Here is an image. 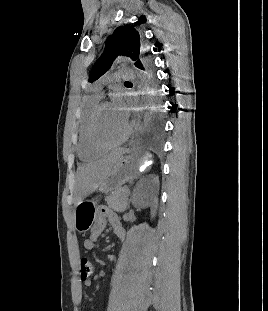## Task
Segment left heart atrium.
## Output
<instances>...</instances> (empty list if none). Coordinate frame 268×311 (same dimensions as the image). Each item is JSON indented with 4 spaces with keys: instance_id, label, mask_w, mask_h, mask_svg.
<instances>
[{
    "instance_id": "39dd6f15",
    "label": "left heart atrium",
    "mask_w": 268,
    "mask_h": 311,
    "mask_svg": "<svg viewBox=\"0 0 268 311\" xmlns=\"http://www.w3.org/2000/svg\"><path fill=\"white\" fill-rule=\"evenodd\" d=\"M111 105H112L113 109L119 114V116L125 122H127L128 108L126 107V104H125L123 97L119 94L115 95L113 97Z\"/></svg>"
}]
</instances>
